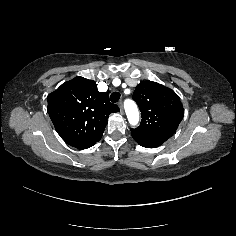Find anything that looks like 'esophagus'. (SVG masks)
Returning a JSON list of instances; mask_svg holds the SVG:
<instances>
[{
  "label": "esophagus",
  "instance_id": "esophagus-1",
  "mask_svg": "<svg viewBox=\"0 0 236 236\" xmlns=\"http://www.w3.org/2000/svg\"><path fill=\"white\" fill-rule=\"evenodd\" d=\"M120 113L123 114V105L122 102H119Z\"/></svg>",
  "mask_w": 236,
  "mask_h": 236
}]
</instances>
